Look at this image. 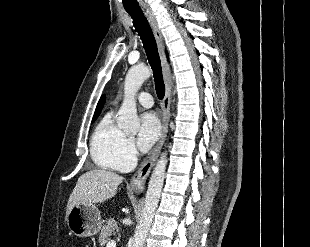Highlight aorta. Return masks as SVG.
<instances>
[{
    "instance_id": "obj_1",
    "label": "aorta",
    "mask_w": 310,
    "mask_h": 247,
    "mask_svg": "<svg viewBox=\"0 0 310 247\" xmlns=\"http://www.w3.org/2000/svg\"><path fill=\"white\" fill-rule=\"evenodd\" d=\"M151 75V70L145 66L132 67L125 78L124 99L118 112L117 124L125 132L135 134L140 128L137 116L135 96L143 82ZM167 165V152L158 160L148 183L144 208L136 226L132 247H143L152 224L161 196Z\"/></svg>"
}]
</instances>
